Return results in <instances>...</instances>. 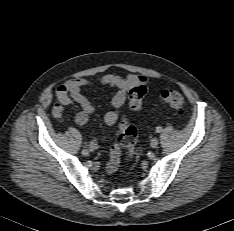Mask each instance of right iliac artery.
<instances>
[{
    "label": "right iliac artery",
    "instance_id": "obj_1",
    "mask_svg": "<svg viewBox=\"0 0 234 231\" xmlns=\"http://www.w3.org/2000/svg\"><path fill=\"white\" fill-rule=\"evenodd\" d=\"M98 148V145L95 142H90L89 143V149L90 151H94Z\"/></svg>",
    "mask_w": 234,
    "mask_h": 231
}]
</instances>
